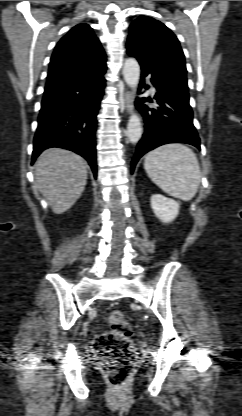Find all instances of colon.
I'll list each match as a JSON object with an SVG mask.
<instances>
[{"label":"colon","instance_id":"1","mask_svg":"<svg viewBox=\"0 0 242 416\" xmlns=\"http://www.w3.org/2000/svg\"><path fill=\"white\" fill-rule=\"evenodd\" d=\"M109 330L98 335L94 348L111 384L126 381L136 363V354L130 341L132 325L126 313L113 310L108 316Z\"/></svg>","mask_w":242,"mask_h":416}]
</instances>
